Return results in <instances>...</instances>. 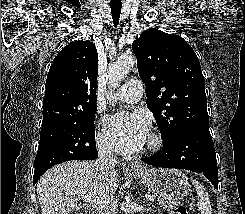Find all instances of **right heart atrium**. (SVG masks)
<instances>
[{
	"mask_svg": "<svg viewBox=\"0 0 245 214\" xmlns=\"http://www.w3.org/2000/svg\"><path fill=\"white\" fill-rule=\"evenodd\" d=\"M96 142H97L98 149L102 154H106V155L111 154V148L103 133L101 132L97 133Z\"/></svg>",
	"mask_w": 245,
	"mask_h": 214,
	"instance_id": "1",
	"label": "right heart atrium"
}]
</instances>
